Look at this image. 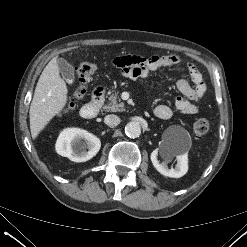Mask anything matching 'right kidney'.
<instances>
[{
    "label": "right kidney",
    "mask_w": 247,
    "mask_h": 247,
    "mask_svg": "<svg viewBox=\"0 0 247 247\" xmlns=\"http://www.w3.org/2000/svg\"><path fill=\"white\" fill-rule=\"evenodd\" d=\"M84 140L83 142H80ZM78 148L73 150V143ZM100 139L86 130L80 128H67L63 130L56 142V151L59 155L68 157L75 162H84L93 158L100 150Z\"/></svg>",
    "instance_id": "ca27d5eb"
}]
</instances>
